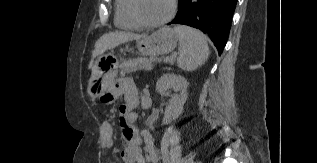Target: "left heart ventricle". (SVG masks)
Masks as SVG:
<instances>
[{
    "label": "left heart ventricle",
    "mask_w": 317,
    "mask_h": 163,
    "mask_svg": "<svg viewBox=\"0 0 317 163\" xmlns=\"http://www.w3.org/2000/svg\"><path fill=\"white\" fill-rule=\"evenodd\" d=\"M140 15L149 22H155L167 16L171 0H138Z\"/></svg>",
    "instance_id": "b2bd125f"
}]
</instances>
